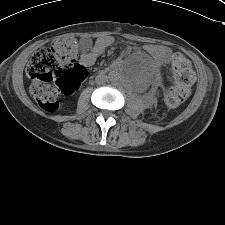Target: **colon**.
I'll return each mask as SVG.
<instances>
[{
    "label": "colon",
    "instance_id": "colon-1",
    "mask_svg": "<svg viewBox=\"0 0 225 225\" xmlns=\"http://www.w3.org/2000/svg\"><path fill=\"white\" fill-rule=\"evenodd\" d=\"M85 46L86 40L63 36L51 48L33 55L27 66V74L33 80V97L43 109L55 111L61 96L75 92L83 83L87 72L72 60ZM172 71L173 84L165 100L170 108H176L191 97L194 74L189 62L180 55L173 57Z\"/></svg>",
    "mask_w": 225,
    "mask_h": 225
}]
</instances>
